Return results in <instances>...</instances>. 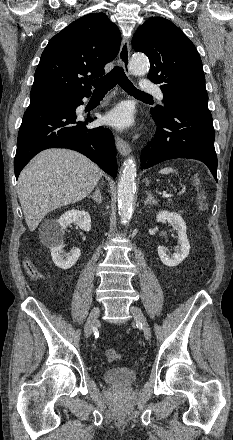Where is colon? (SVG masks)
<instances>
[{
    "mask_svg": "<svg viewBox=\"0 0 233 440\" xmlns=\"http://www.w3.org/2000/svg\"><path fill=\"white\" fill-rule=\"evenodd\" d=\"M193 185L197 189V207L199 211L205 212L208 209V200L206 192L202 185V179L199 176H195L193 179ZM25 269L28 273V275L31 278H39L40 277V271L38 267L29 259H26L24 262ZM104 355L106 359L110 362H115L120 360V354L113 348H107L104 351Z\"/></svg>",
    "mask_w": 233,
    "mask_h": 440,
    "instance_id": "colon-1",
    "label": "colon"
}]
</instances>
